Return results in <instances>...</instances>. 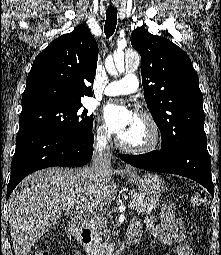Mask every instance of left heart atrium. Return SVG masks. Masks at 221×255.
Returning a JSON list of instances; mask_svg holds the SVG:
<instances>
[{"label":"left heart atrium","instance_id":"39dd6f15","mask_svg":"<svg viewBox=\"0 0 221 255\" xmlns=\"http://www.w3.org/2000/svg\"><path fill=\"white\" fill-rule=\"evenodd\" d=\"M134 114L123 104L111 103L103 110V119L110 133L120 136L132 123Z\"/></svg>","mask_w":221,"mask_h":255}]
</instances>
